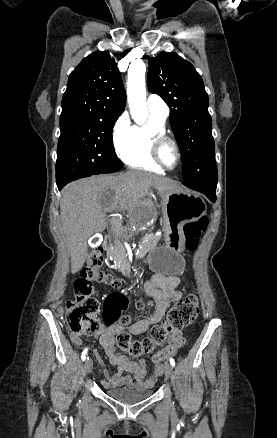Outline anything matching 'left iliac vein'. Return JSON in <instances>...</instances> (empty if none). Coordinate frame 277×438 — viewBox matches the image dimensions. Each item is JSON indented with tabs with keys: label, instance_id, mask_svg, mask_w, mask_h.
Returning <instances> with one entry per match:
<instances>
[{
	"label": "left iliac vein",
	"instance_id": "left-iliac-vein-1",
	"mask_svg": "<svg viewBox=\"0 0 277 438\" xmlns=\"http://www.w3.org/2000/svg\"><path fill=\"white\" fill-rule=\"evenodd\" d=\"M172 374H173V367L170 364H167L165 367V376L167 378H170Z\"/></svg>",
	"mask_w": 277,
	"mask_h": 438
}]
</instances>
